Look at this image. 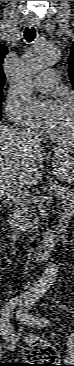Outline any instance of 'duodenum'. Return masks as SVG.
Here are the masks:
<instances>
[{
    "instance_id": "duodenum-1",
    "label": "duodenum",
    "mask_w": 74,
    "mask_h": 366,
    "mask_svg": "<svg viewBox=\"0 0 74 366\" xmlns=\"http://www.w3.org/2000/svg\"><path fill=\"white\" fill-rule=\"evenodd\" d=\"M57 242V237L54 233H48L44 236L40 250L46 252L51 249Z\"/></svg>"
}]
</instances>
